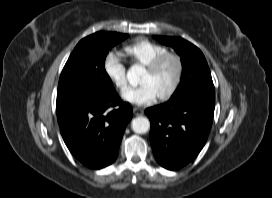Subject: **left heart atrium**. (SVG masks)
<instances>
[{"instance_id": "left-heart-atrium-1", "label": "left heart atrium", "mask_w": 272, "mask_h": 198, "mask_svg": "<svg viewBox=\"0 0 272 198\" xmlns=\"http://www.w3.org/2000/svg\"><path fill=\"white\" fill-rule=\"evenodd\" d=\"M122 98L133 105L146 106L153 104L157 100L158 94L151 84L144 83L125 89L122 92Z\"/></svg>"}]
</instances>
